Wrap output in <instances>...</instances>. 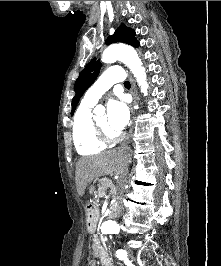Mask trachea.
Masks as SVG:
<instances>
[{"label": "trachea", "mask_w": 221, "mask_h": 266, "mask_svg": "<svg viewBox=\"0 0 221 266\" xmlns=\"http://www.w3.org/2000/svg\"><path fill=\"white\" fill-rule=\"evenodd\" d=\"M124 86H126V87H130L131 85H130V82L129 81H125L124 82Z\"/></svg>", "instance_id": "1"}]
</instances>
